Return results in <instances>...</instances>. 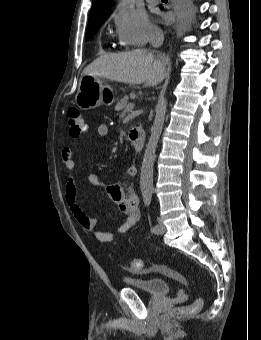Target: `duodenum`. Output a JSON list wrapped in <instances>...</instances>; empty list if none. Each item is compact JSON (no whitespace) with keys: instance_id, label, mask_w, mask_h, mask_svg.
<instances>
[{"instance_id":"410a0bca","label":"duodenum","mask_w":261,"mask_h":340,"mask_svg":"<svg viewBox=\"0 0 261 340\" xmlns=\"http://www.w3.org/2000/svg\"><path fill=\"white\" fill-rule=\"evenodd\" d=\"M144 138L145 136L142 128H134L129 132V141L137 151H140L143 148Z\"/></svg>"}]
</instances>
